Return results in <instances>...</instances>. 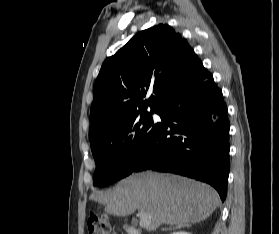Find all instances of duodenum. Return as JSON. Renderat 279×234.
<instances>
[{
	"mask_svg": "<svg viewBox=\"0 0 279 234\" xmlns=\"http://www.w3.org/2000/svg\"><path fill=\"white\" fill-rule=\"evenodd\" d=\"M127 234H141L135 227L129 226L127 228Z\"/></svg>",
	"mask_w": 279,
	"mask_h": 234,
	"instance_id": "duodenum-1",
	"label": "duodenum"
}]
</instances>
